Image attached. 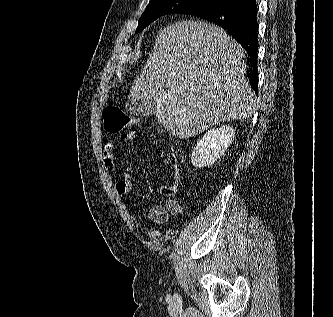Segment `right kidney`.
Listing matches in <instances>:
<instances>
[{
	"label": "right kidney",
	"instance_id": "ca27d5eb",
	"mask_svg": "<svg viewBox=\"0 0 333 317\" xmlns=\"http://www.w3.org/2000/svg\"><path fill=\"white\" fill-rule=\"evenodd\" d=\"M235 130L231 126L209 130L197 142L191 155V162L195 167L202 168L214 164L233 142Z\"/></svg>",
	"mask_w": 333,
	"mask_h": 317
}]
</instances>
